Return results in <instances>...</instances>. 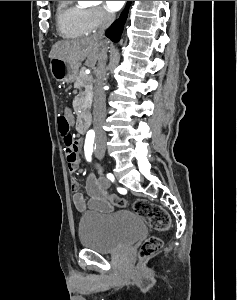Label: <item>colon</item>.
<instances>
[{
    "label": "colon",
    "instance_id": "5ec220e1",
    "mask_svg": "<svg viewBox=\"0 0 237 300\" xmlns=\"http://www.w3.org/2000/svg\"><path fill=\"white\" fill-rule=\"evenodd\" d=\"M58 130L66 149H71L77 145L78 140L71 132L70 124L64 115L58 118ZM110 199L119 207L125 206V200L123 198L111 196ZM133 210L143 217L146 223L156 231L164 232L170 227V216L160 205L146 199H137L133 203ZM161 246L162 241L159 237L149 236L140 245L139 255L142 258H148L157 253Z\"/></svg>",
    "mask_w": 237,
    "mask_h": 300
}]
</instances>
